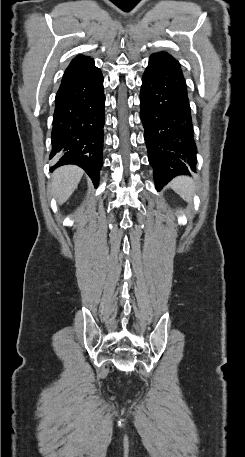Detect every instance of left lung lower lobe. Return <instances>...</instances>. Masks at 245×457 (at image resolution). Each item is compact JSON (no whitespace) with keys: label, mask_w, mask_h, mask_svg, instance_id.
Wrapping results in <instances>:
<instances>
[{"label":"left lung lower lobe","mask_w":245,"mask_h":457,"mask_svg":"<svg viewBox=\"0 0 245 457\" xmlns=\"http://www.w3.org/2000/svg\"><path fill=\"white\" fill-rule=\"evenodd\" d=\"M140 117L159 190L177 175L196 172L197 148L180 63L166 52L150 56L142 77Z\"/></svg>","instance_id":"1"}]
</instances>
